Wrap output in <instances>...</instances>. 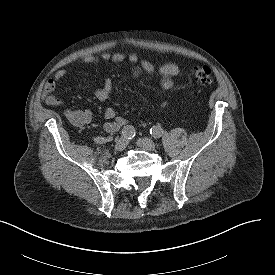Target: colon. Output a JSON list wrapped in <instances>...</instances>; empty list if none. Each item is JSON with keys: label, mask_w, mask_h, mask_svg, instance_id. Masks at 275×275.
Here are the masks:
<instances>
[{"label": "colon", "mask_w": 275, "mask_h": 275, "mask_svg": "<svg viewBox=\"0 0 275 275\" xmlns=\"http://www.w3.org/2000/svg\"><path fill=\"white\" fill-rule=\"evenodd\" d=\"M192 79L201 85H210L212 83V71L209 67H195L191 70Z\"/></svg>", "instance_id": "obj_1"}]
</instances>
